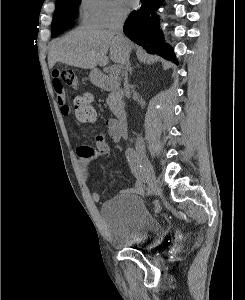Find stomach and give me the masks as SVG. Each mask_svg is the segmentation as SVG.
Wrapping results in <instances>:
<instances>
[{
  "instance_id": "0dacf381",
  "label": "stomach",
  "mask_w": 245,
  "mask_h": 300,
  "mask_svg": "<svg viewBox=\"0 0 245 300\" xmlns=\"http://www.w3.org/2000/svg\"><path fill=\"white\" fill-rule=\"evenodd\" d=\"M90 78H91L92 80L95 79V71H92V72L90 73Z\"/></svg>"
}]
</instances>
